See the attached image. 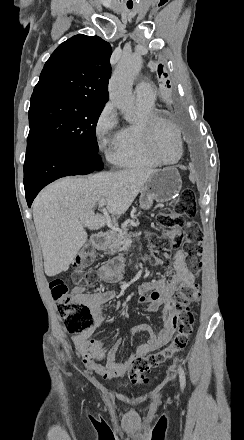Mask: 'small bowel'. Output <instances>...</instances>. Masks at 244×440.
<instances>
[{"mask_svg":"<svg viewBox=\"0 0 244 440\" xmlns=\"http://www.w3.org/2000/svg\"><path fill=\"white\" fill-rule=\"evenodd\" d=\"M186 222L185 226H189ZM173 272L170 279L159 278L146 281L138 288L139 303L147 304L146 310L149 313L162 309L164 326L158 334L154 333L150 325L141 326L138 331L149 334L147 342L133 346L131 355L123 360L117 361L116 354L119 344L112 348H106L101 340L90 337V333L73 334L72 341L84 365L104 379L123 377L129 370L135 353L156 351L166 345L175 332L173 318L175 314L174 294L185 285L195 283V274L186 265V255L183 250H176L170 256ZM157 263H161L157 260ZM125 269V260L121 257L114 259L111 263L103 265L97 272V277L105 283H117L121 280ZM85 272L80 271L76 277V284L72 288V294L77 300H86L96 325L104 322V304L114 299L116 292L113 290H100L86 292L81 278ZM135 333H133L132 337Z\"/></svg>","mask_w":244,"mask_h":440,"instance_id":"1","label":"small bowel"}]
</instances>
